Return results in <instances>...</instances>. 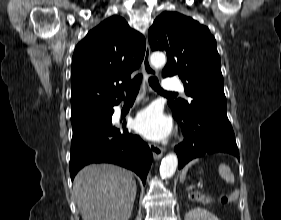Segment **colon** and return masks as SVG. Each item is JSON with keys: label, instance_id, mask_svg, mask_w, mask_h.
<instances>
[{"label": "colon", "instance_id": "1", "mask_svg": "<svg viewBox=\"0 0 281 220\" xmlns=\"http://www.w3.org/2000/svg\"><path fill=\"white\" fill-rule=\"evenodd\" d=\"M238 195H239L238 191H234V192H232L229 195L222 196L221 197V202H223V203L232 202V201H234V200H236L238 198ZM192 198L196 199V200H200L202 202H207L208 201V197L207 196L199 194V193H193L192 194Z\"/></svg>", "mask_w": 281, "mask_h": 220}]
</instances>
